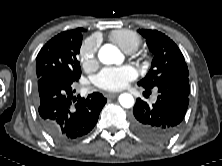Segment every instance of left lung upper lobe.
Here are the masks:
<instances>
[{
	"label": "left lung upper lobe",
	"mask_w": 222,
	"mask_h": 166,
	"mask_svg": "<svg viewBox=\"0 0 222 166\" xmlns=\"http://www.w3.org/2000/svg\"><path fill=\"white\" fill-rule=\"evenodd\" d=\"M138 32L146 39L154 54L151 69L145 78L138 82L139 86L151 89L165 80L189 81V72L184 57L178 46L169 37L150 29H142Z\"/></svg>",
	"instance_id": "obj_1"
}]
</instances>
